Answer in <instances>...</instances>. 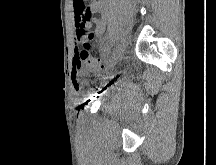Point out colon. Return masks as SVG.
Returning <instances> with one entry per match:
<instances>
[{
  "instance_id": "obj_1",
  "label": "colon",
  "mask_w": 216,
  "mask_h": 165,
  "mask_svg": "<svg viewBox=\"0 0 216 165\" xmlns=\"http://www.w3.org/2000/svg\"><path fill=\"white\" fill-rule=\"evenodd\" d=\"M92 16L91 13H83L84 20L90 19ZM94 37L92 31L81 29L80 38L81 41H84L83 46L76 51L75 62L76 68L79 69L81 65L87 66L90 70L94 72H101L104 70V65L100 59L94 57L89 50L88 40Z\"/></svg>"
}]
</instances>
